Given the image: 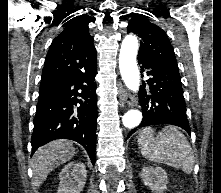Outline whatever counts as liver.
<instances>
[{"label":"liver","mask_w":221,"mask_h":193,"mask_svg":"<svg viewBox=\"0 0 221 193\" xmlns=\"http://www.w3.org/2000/svg\"><path fill=\"white\" fill-rule=\"evenodd\" d=\"M75 154L71 141L58 139L38 148L32 159L33 186H39L46 180L50 172L59 165L70 160Z\"/></svg>","instance_id":"liver-1"}]
</instances>
